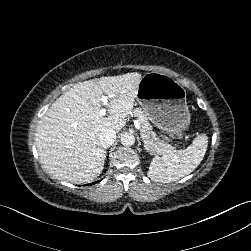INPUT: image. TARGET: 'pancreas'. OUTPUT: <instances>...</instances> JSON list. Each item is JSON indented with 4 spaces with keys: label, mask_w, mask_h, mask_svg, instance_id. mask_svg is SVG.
Returning <instances> with one entry per match:
<instances>
[{
    "label": "pancreas",
    "mask_w": 251,
    "mask_h": 251,
    "mask_svg": "<svg viewBox=\"0 0 251 251\" xmlns=\"http://www.w3.org/2000/svg\"><path fill=\"white\" fill-rule=\"evenodd\" d=\"M132 113L139 121V134L148 150H151L154 154L162 155L174 150L173 145L164 143L157 138L147 115L140 107L133 108Z\"/></svg>",
    "instance_id": "obj_1"
}]
</instances>
